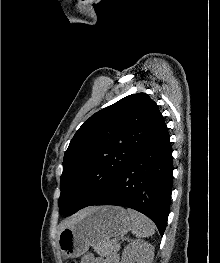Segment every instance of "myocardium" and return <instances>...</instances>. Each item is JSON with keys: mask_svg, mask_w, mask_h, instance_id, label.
<instances>
[{"mask_svg": "<svg viewBox=\"0 0 220 263\" xmlns=\"http://www.w3.org/2000/svg\"><path fill=\"white\" fill-rule=\"evenodd\" d=\"M88 189V184L87 183H83L80 184L76 190H75V194L76 195H82L83 193H85V191Z\"/></svg>", "mask_w": 220, "mask_h": 263, "instance_id": "obj_1", "label": "myocardium"}]
</instances>
